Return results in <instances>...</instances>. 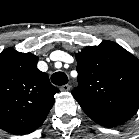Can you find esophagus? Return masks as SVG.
Wrapping results in <instances>:
<instances>
[{"label": "esophagus", "instance_id": "34e87169", "mask_svg": "<svg viewBox=\"0 0 139 139\" xmlns=\"http://www.w3.org/2000/svg\"><path fill=\"white\" fill-rule=\"evenodd\" d=\"M70 89H71V86L68 84H65V85L60 87L61 91H69Z\"/></svg>", "mask_w": 139, "mask_h": 139}]
</instances>
